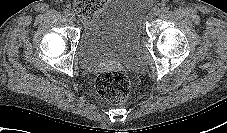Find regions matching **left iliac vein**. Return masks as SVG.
I'll return each mask as SVG.
<instances>
[{"label": "left iliac vein", "mask_w": 227, "mask_h": 133, "mask_svg": "<svg viewBox=\"0 0 227 133\" xmlns=\"http://www.w3.org/2000/svg\"><path fill=\"white\" fill-rule=\"evenodd\" d=\"M160 13H161V10H160L159 8H155V9L153 10V15H154V16H158Z\"/></svg>", "instance_id": "left-iliac-vein-1"}]
</instances>
